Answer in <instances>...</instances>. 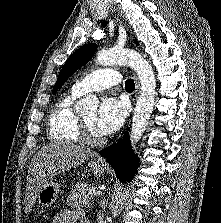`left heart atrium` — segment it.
Returning a JSON list of instances; mask_svg holds the SVG:
<instances>
[{
    "label": "left heart atrium",
    "mask_w": 221,
    "mask_h": 223,
    "mask_svg": "<svg viewBox=\"0 0 221 223\" xmlns=\"http://www.w3.org/2000/svg\"><path fill=\"white\" fill-rule=\"evenodd\" d=\"M127 107L123 100L106 97L101 102L96 118V129L101 135L112 134L123 124Z\"/></svg>",
    "instance_id": "39dd6f15"
}]
</instances>
